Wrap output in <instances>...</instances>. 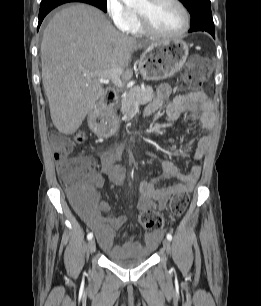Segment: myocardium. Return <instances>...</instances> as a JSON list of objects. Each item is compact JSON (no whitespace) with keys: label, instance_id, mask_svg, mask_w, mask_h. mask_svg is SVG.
I'll list each match as a JSON object with an SVG mask.
<instances>
[{"label":"myocardium","instance_id":"f54148a6","mask_svg":"<svg viewBox=\"0 0 261 306\" xmlns=\"http://www.w3.org/2000/svg\"><path fill=\"white\" fill-rule=\"evenodd\" d=\"M147 1L149 3H154L157 0H147ZM170 1L176 4L182 12V15H183L182 27L175 33L161 32L152 25L148 16L145 13L136 11V17L138 19V22L145 33L155 36V37L172 39V38H178V37L183 36L189 30L190 24H191V18H190V13H189L188 8L181 0H170Z\"/></svg>","mask_w":261,"mask_h":306}]
</instances>
